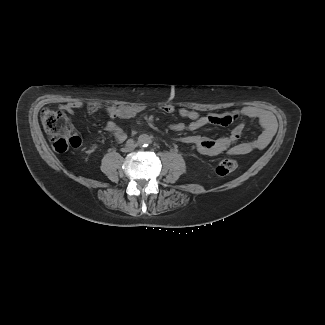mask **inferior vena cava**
Returning <instances> with one entry per match:
<instances>
[{
  "label": "inferior vena cava",
  "instance_id": "inferior-vena-cava-1",
  "mask_svg": "<svg viewBox=\"0 0 325 325\" xmlns=\"http://www.w3.org/2000/svg\"><path fill=\"white\" fill-rule=\"evenodd\" d=\"M134 149V146L126 148V151H132Z\"/></svg>",
  "mask_w": 325,
  "mask_h": 325
}]
</instances>
